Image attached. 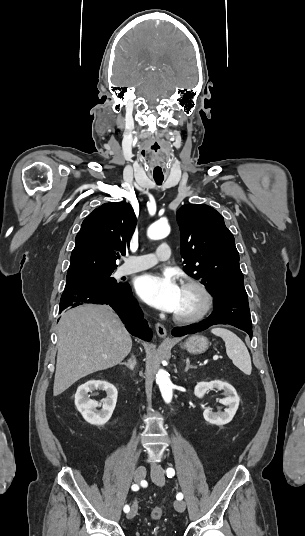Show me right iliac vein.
<instances>
[{
    "mask_svg": "<svg viewBox=\"0 0 305 536\" xmlns=\"http://www.w3.org/2000/svg\"><path fill=\"white\" fill-rule=\"evenodd\" d=\"M146 475V468L144 466H140L136 469L134 474V480L137 483H140L145 478ZM137 513V505L136 503H133L130 509V512L127 515L128 519H133L136 516Z\"/></svg>",
    "mask_w": 305,
    "mask_h": 536,
    "instance_id": "1",
    "label": "right iliac vein"
}]
</instances>
